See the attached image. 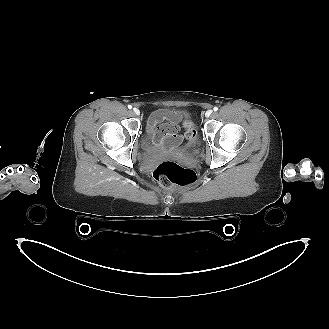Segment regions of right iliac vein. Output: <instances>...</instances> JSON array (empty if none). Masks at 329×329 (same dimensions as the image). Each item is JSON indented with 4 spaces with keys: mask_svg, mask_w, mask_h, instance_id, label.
<instances>
[{
    "mask_svg": "<svg viewBox=\"0 0 329 329\" xmlns=\"http://www.w3.org/2000/svg\"><path fill=\"white\" fill-rule=\"evenodd\" d=\"M133 112H134L136 115H140V110L137 109V108H134V109H133Z\"/></svg>",
    "mask_w": 329,
    "mask_h": 329,
    "instance_id": "1",
    "label": "right iliac vein"
}]
</instances>
